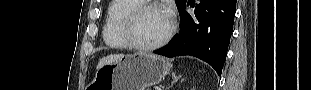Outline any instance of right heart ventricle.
I'll list each match as a JSON object with an SVG mask.
<instances>
[{"mask_svg": "<svg viewBox=\"0 0 311 90\" xmlns=\"http://www.w3.org/2000/svg\"><path fill=\"white\" fill-rule=\"evenodd\" d=\"M139 0H114L110 3L103 26V39L112 49L128 48L122 34V25L126 15L136 6L143 4Z\"/></svg>", "mask_w": 311, "mask_h": 90, "instance_id": "right-heart-ventricle-1", "label": "right heart ventricle"}]
</instances>
